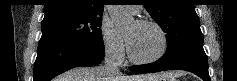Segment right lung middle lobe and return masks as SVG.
I'll return each instance as SVG.
<instances>
[{
	"label": "right lung middle lobe",
	"instance_id": "dd1d6c3e",
	"mask_svg": "<svg viewBox=\"0 0 237 81\" xmlns=\"http://www.w3.org/2000/svg\"><path fill=\"white\" fill-rule=\"evenodd\" d=\"M101 16L61 15L43 19L41 39H58L80 44L103 43Z\"/></svg>",
	"mask_w": 237,
	"mask_h": 81
}]
</instances>
